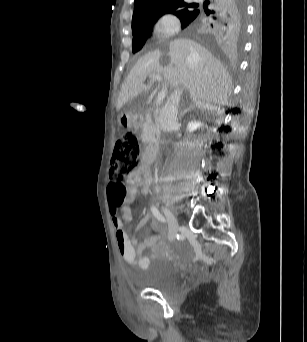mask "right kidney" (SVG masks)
I'll return each mask as SVG.
<instances>
[{
  "mask_svg": "<svg viewBox=\"0 0 307 342\" xmlns=\"http://www.w3.org/2000/svg\"><path fill=\"white\" fill-rule=\"evenodd\" d=\"M200 126H202L201 122H189V124H187V130L188 132H195Z\"/></svg>",
  "mask_w": 307,
  "mask_h": 342,
  "instance_id": "right-kidney-1",
  "label": "right kidney"
}]
</instances>
